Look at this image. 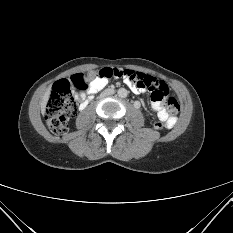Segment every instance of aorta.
Returning a JSON list of instances; mask_svg holds the SVG:
<instances>
[{
  "label": "aorta",
  "instance_id": "762f6f07",
  "mask_svg": "<svg viewBox=\"0 0 233 233\" xmlns=\"http://www.w3.org/2000/svg\"><path fill=\"white\" fill-rule=\"evenodd\" d=\"M128 95V91L125 88H120L118 90V96L121 98H125Z\"/></svg>",
  "mask_w": 233,
  "mask_h": 233
}]
</instances>
